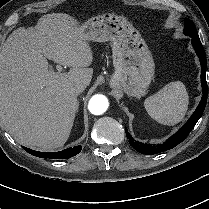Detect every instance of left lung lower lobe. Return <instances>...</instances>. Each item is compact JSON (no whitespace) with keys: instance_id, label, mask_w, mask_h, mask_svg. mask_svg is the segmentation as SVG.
<instances>
[{"instance_id":"0a47b994","label":"left lung lower lobe","mask_w":209,"mask_h":209,"mask_svg":"<svg viewBox=\"0 0 209 209\" xmlns=\"http://www.w3.org/2000/svg\"><path fill=\"white\" fill-rule=\"evenodd\" d=\"M192 46L196 51L198 58L200 59L201 63V87H202V98L201 101L192 114L190 119L186 122V124L173 136H171L166 142L159 145H152V144H144L139 141H136L132 138L129 134L128 130L126 131L127 139L129 140L130 145L139 153L146 154V155H153L163 151L170 150L180 144L192 131L197 121L203 114V111L206 106L207 102V82H206V67H207V60L206 54L203 48V45L199 38H192Z\"/></svg>"}]
</instances>
